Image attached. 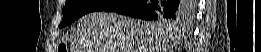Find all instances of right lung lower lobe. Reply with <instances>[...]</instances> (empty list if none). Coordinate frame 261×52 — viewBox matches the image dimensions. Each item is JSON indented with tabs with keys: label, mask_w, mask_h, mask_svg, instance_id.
Wrapping results in <instances>:
<instances>
[{
	"label": "right lung lower lobe",
	"mask_w": 261,
	"mask_h": 52,
	"mask_svg": "<svg viewBox=\"0 0 261 52\" xmlns=\"http://www.w3.org/2000/svg\"><path fill=\"white\" fill-rule=\"evenodd\" d=\"M145 20L157 18L175 19L184 16L189 10L179 0H127L115 3L104 9Z\"/></svg>",
	"instance_id": "obj_1"
}]
</instances>
